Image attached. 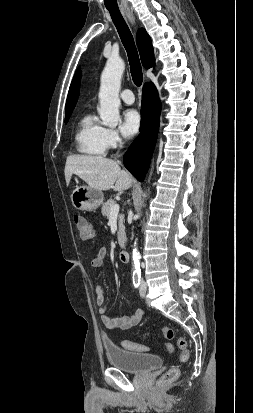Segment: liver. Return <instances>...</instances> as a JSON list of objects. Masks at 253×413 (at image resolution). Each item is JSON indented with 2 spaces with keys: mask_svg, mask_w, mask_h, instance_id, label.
Returning <instances> with one entry per match:
<instances>
[{
  "mask_svg": "<svg viewBox=\"0 0 253 413\" xmlns=\"http://www.w3.org/2000/svg\"><path fill=\"white\" fill-rule=\"evenodd\" d=\"M73 174L84 180L89 187L106 191H124L131 187L132 176L121 170L114 160L102 156L72 155L68 156L65 164V180L69 185Z\"/></svg>",
  "mask_w": 253,
  "mask_h": 413,
  "instance_id": "6515ba94",
  "label": "liver"
}]
</instances>
